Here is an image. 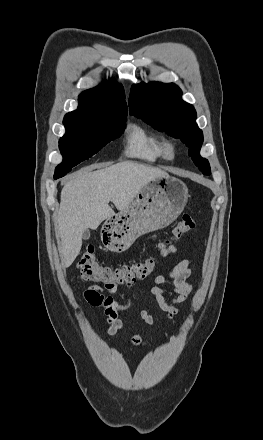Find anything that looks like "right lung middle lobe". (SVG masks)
I'll return each mask as SVG.
<instances>
[{"instance_id":"right-lung-middle-lobe-1","label":"right lung middle lobe","mask_w":263,"mask_h":440,"mask_svg":"<svg viewBox=\"0 0 263 440\" xmlns=\"http://www.w3.org/2000/svg\"><path fill=\"white\" fill-rule=\"evenodd\" d=\"M126 115L93 117L79 125H65L66 133L59 140L63 162L57 166L54 179L96 154L107 143L119 137L125 127Z\"/></svg>"}]
</instances>
